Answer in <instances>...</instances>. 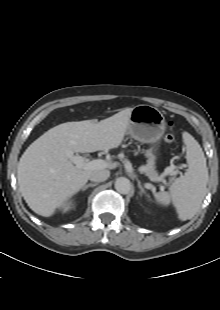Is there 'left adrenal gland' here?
Listing matches in <instances>:
<instances>
[{"label": "left adrenal gland", "instance_id": "left-adrenal-gland-1", "mask_svg": "<svg viewBox=\"0 0 220 310\" xmlns=\"http://www.w3.org/2000/svg\"><path fill=\"white\" fill-rule=\"evenodd\" d=\"M137 182H138V188L140 189V196H142L143 194L146 195V192L144 188L142 187L141 182L139 180H137Z\"/></svg>", "mask_w": 220, "mask_h": 310}]
</instances>
